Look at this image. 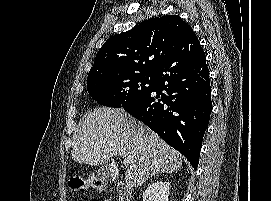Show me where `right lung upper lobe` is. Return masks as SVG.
<instances>
[{"label":"right lung upper lobe","mask_w":271,"mask_h":201,"mask_svg":"<svg viewBox=\"0 0 271 201\" xmlns=\"http://www.w3.org/2000/svg\"><path fill=\"white\" fill-rule=\"evenodd\" d=\"M192 28L177 15L152 18L106 41L88 77L106 74H155Z\"/></svg>","instance_id":"1"}]
</instances>
